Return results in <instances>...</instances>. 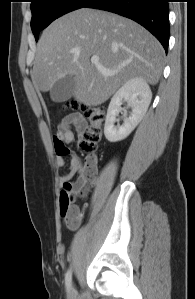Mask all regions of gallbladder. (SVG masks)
<instances>
[{
	"label": "gallbladder",
	"instance_id": "bac80fb5",
	"mask_svg": "<svg viewBox=\"0 0 195 299\" xmlns=\"http://www.w3.org/2000/svg\"><path fill=\"white\" fill-rule=\"evenodd\" d=\"M76 81L73 76H66L56 81L50 90V98L53 102L61 103L70 99L75 91Z\"/></svg>",
	"mask_w": 195,
	"mask_h": 299
}]
</instances>
